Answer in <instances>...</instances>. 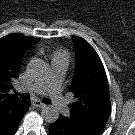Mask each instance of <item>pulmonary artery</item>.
Masks as SVG:
<instances>
[{"mask_svg": "<svg viewBox=\"0 0 135 135\" xmlns=\"http://www.w3.org/2000/svg\"><path fill=\"white\" fill-rule=\"evenodd\" d=\"M66 68V63H53L50 76L43 82L29 85L25 91L33 94L48 93L56 108L61 112H67V106L61 95L62 81ZM18 90L22 89L19 88Z\"/></svg>", "mask_w": 135, "mask_h": 135, "instance_id": "obj_1", "label": "pulmonary artery"}]
</instances>
